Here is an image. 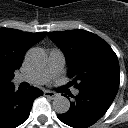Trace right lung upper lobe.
Returning a JSON list of instances; mask_svg holds the SVG:
<instances>
[{
	"label": "right lung upper lobe",
	"mask_w": 128,
	"mask_h": 128,
	"mask_svg": "<svg viewBox=\"0 0 128 128\" xmlns=\"http://www.w3.org/2000/svg\"><path fill=\"white\" fill-rule=\"evenodd\" d=\"M45 36L46 32L0 28V89L13 84L14 71L21 67L26 51Z\"/></svg>",
	"instance_id": "obj_1"
}]
</instances>
